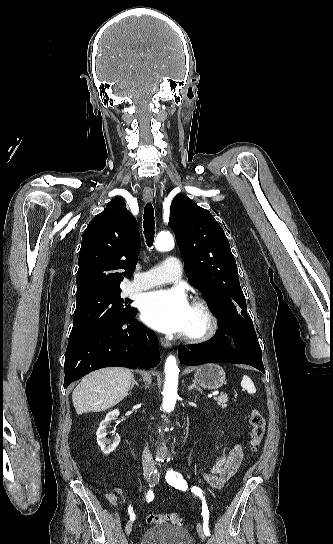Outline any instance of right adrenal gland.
<instances>
[{
  "mask_svg": "<svg viewBox=\"0 0 333 544\" xmlns=\"http://www.w3.org/2000/svg\"><path fill=\"white\" fill-rule=\"evenodd\" d=\"M134 385L139 386L138 382L135 380L134 375H133V376H132V383H131V386H130V390H132V388H133Z\"/></svg>",
  "mask_w": 333,
  "mask_h": 544,
  "instance_id": "1",
  "label": "right adrenal gland"
}]
</instances>
